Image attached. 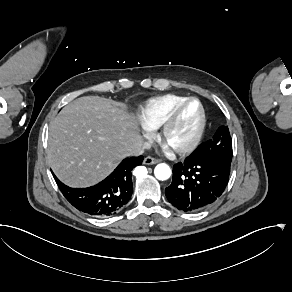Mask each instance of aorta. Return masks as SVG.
Instances as JSON below:
<instances>
[{
  "label": "aorta",
  "mask_w": 292,
  "mask_h": 292,
  "mask_svg": "<svg viewBox=\"0 0 292 292\" xmlns=\"http://www.w3.org/2000/svg\"><path fill=\"white\" fill-rule=\"evenodd\" d=\"M154 175L160 181L167 180L171 176V169L167 164H158L154 169Z\"/></svg>",
  "instance_id": "obj_1"
}]
</instances>
